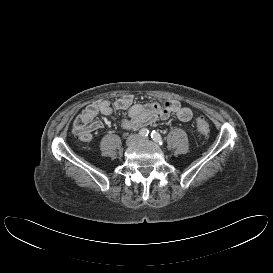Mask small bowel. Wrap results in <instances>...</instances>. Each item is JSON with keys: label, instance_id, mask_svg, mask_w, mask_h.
<instances>
[{"label": "small bowel", "instance_id": "small-bowel-1", "mask_svg": "<svg viewBox=\"0 0 273 273\" xmlns=\"http://www.w3.org/2000/svg\"><path fill=\"white\" fill-rule=\"evenodd\" d=\"M114 110H128V118L121 121L122 127L126 130H135L171 115L183 122L192 118L191 109L175 100L139 104L134 103L131 96H125L114 102L99 100L88 105L75 118L72 126L73 133L82 142H90L93 139V133L103 127V123L96 120V117L99 114L109 116Z\"/></svg>", "mask_w": 273, "mask_h": 273}]
</instances>
